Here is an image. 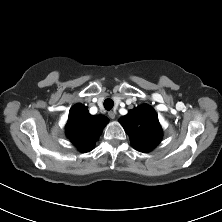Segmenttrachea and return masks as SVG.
<instances>
[{
  "label": "trachea",
  "instance_id": "3493384b",
  "mask_svg": "<svg viewBox=\"0 0 222 222\" xmlns=\"http://www.w3.org/2000/svg\"><path fill=\"white\" fill-rule=\"evenodd\" d=\"M113 105H114V102H113V100L112 99H106L105 101H104V108L106 109V110H111L112 108H113Z\"/></svg>",
  "mask_w": 222,
  "mask_h": 222
}]
</instances>
